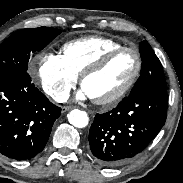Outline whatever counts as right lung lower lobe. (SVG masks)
Listing matches in <instances>:
<instances>
[{
	"label": "right lung lower lobe",
	"mask_w": 183,
	"mask_h": 183,
	"mask_svg": "<svg viewBox=\"0 0 183 183\" xmlns=\"http://www.w3.org/2000/svg\"><path fill=\"white\" fill-rule=\"evenodd\" d=\"M60 114L27 71L0 75V153L17 160L36 156Z\"/></svg>",
	"instance_id": "1"
}]
</instances>
